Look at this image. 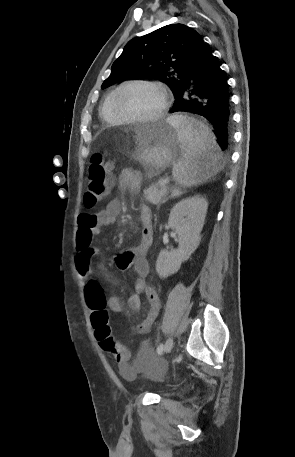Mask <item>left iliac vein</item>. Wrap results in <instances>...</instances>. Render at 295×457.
I'll return each mask as SVG.
<instances>
[{
	"label": "left iliac vein",
	"mask_w": 295,
	"mask_h": 457,
	"mask_svg": "<svg viewBox=\"0 0 295 457\" xmlns=\"http://www.w3.org/2000/svg\"><path fill=\"white\" fill-rule=\"evenodd\" d=\"M174 341L172 337H169L164 345V353H168L172 350Z\"/></svg>",
	"instance_id": "obj_1"
}]
</instances>
